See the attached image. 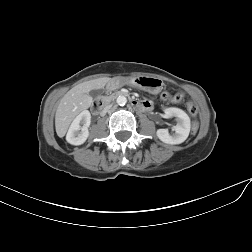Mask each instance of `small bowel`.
Returning a JSON list of instances; mask_svg holds the SVG:
<instances>
[{
	"label": "small bowel",
	"mask_w": 252,
	"mask_h": 252,
	"mask_svg": "<svg viewBox=\"0 0 252 252\" xmlns=\"http://www.w3.org/2000/svg\"><path fill=\"white\" fill-rule=\"evenodd\" d=\"M142 104H143V110H145V111L150 110L152 107L151 101H144V102H142Z\"/></svg>",
	"instance_id": "small-bowel-1"
}]
</instances>
